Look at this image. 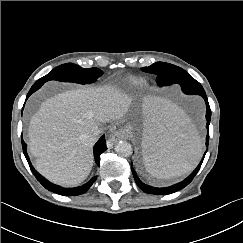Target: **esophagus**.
Segmentation results:
<instances>
[{
  "label": "esophagus",
  "mask_w": 243,
  "mask_h": 243,
  "mask_svg": "<svg viewBox=\"0 0 243 243\" xmlns=\"http://www.w3.org/2000/svg\"><path fill=\"white\" fill-rule=\"evenodd\" d=\"M126 138H127L126 132L122 131V130H118L111 135L110 143H111V145H114L118 141L126 139Z\"/></svg>",
  "instance_id": "1"
}]
</instances>
